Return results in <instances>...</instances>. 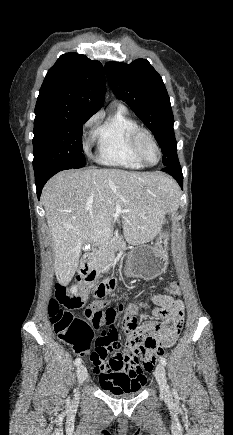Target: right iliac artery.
Wrapping results in <instances>:
<instances>
[{
	"label": "right iliac artery",
	"mask_w": 233,
	"mask_h": 435,
	"mask_svg": "<svg viewBox=\"0 0 233 435\" xmlns=\"http://www.w3.org/2000/svg\"><path fill=\"white\" fill-rule=\"evenodd\" d=\"M81 362H82L81 358H77V359L75 360V365L78 366V365L81 364Z\"/></svg>",
	"instance_id": "82829eb1"
}]
</instances>
